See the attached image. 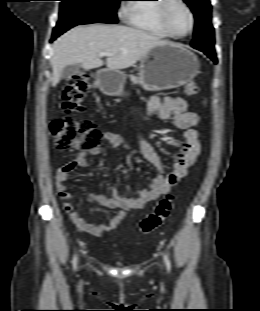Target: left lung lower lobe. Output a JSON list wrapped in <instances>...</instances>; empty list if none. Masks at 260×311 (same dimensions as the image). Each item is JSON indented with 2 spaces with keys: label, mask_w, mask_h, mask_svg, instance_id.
<instances>
[{
  "label": "left lung lower lobe",
  "mask_w": 260,
  "mask_h": 311,
  "mask_svg": "<svg viewBox=\"0 0 260 311\" xmlns=\"http://www.w3.org/2000/svg\"><path fill=\"white\" fill-rule=\"evenodd\" d=\"M194 48L204 52L209 58H211L214 61L215 64L217 63V58L215 56L214 49H209V48H204V47H194Z\"/></svg>",
  "instance_id": "1"
}]
</instances>
